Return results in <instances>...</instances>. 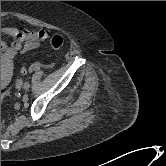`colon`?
Returning <instances> with one entry per match:
<instances>
[{
	"label": "colon",
	"instance_id": "1",
	"mask_svg": "<svg viewBox=\"0 0 166 166\" xmlns=\"http://www.w3.org/2000/svg\"><path fill=\"white\" fill-rule=\"evenodd\" d=\"M64 40L60 35H54L50 38V45L53 49L58 50L63 46ZM27 72L26 68H21L20 73L23 75ZM22 80L17 79L13 85L14 89H19L21 87ZM11 95V89L5 92H1V100Z\"/></svg>",
	"mask_w": 166,
	"mask_h": 166
}]
</instances>
